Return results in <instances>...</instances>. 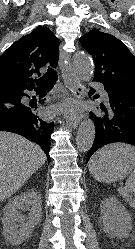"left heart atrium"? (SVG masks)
<instances>
[{
	"instance_id": "obj_1",
	"label": "left heart atrium",
	"mask_w": 135,
	"mask_h": 249,
	"mask_svg": "<svg viewBox=\"0 0 135 249\" xmlns=\"http://www.w3.org/2000/svg\"><path fill=\"white\" fill-rule=\"evenodd\" d=\"M75 110V106L72 103H64L58 108H53L51 109V112H56V111H65V112H73Z\"/></svg>"
}]
</instances>
